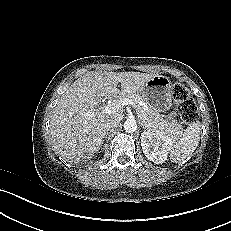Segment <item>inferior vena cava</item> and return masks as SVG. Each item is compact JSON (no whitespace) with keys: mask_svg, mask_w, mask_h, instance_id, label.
I'll return each mask as SVG.
<instances>
[{"mask_svg":"<svg viewBox=\"0 0 231 231\" xmlns=\"http://www.w3.org/2000/svg\"><path fill=\"white\" fill-rule=\"evenodd\" d=\"M119 122H120V118H117V117L108 118L105 121V128H106V130L110 131V130L114 129L115 127H117V125L119 124Z\"/></svg>","mask_w":231,"mask_h":231,"instance_id":"602c4592","label":"inferior vena cava"}]
</instances>
